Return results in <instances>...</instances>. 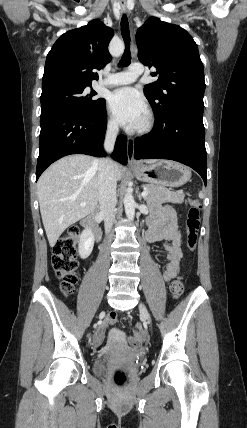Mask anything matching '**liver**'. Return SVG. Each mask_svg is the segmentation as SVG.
Segmentation results:
<instances>
[{
    "instance_id": "6515ba94",
    "label": "liver",
    "mask_w": 247,
    "mask_h": 428,
    "mask_svg": "<svg viewBox=\"0 0 247 428\" xmlns=\"http://www.w3.org/2000/svg\"><path fill=\"white\" fill-rule=\"evenodd\" d=\"M153 164L155 159L146 160ZM98 162L86 155L66 156L52 164L39 178L37 193L41 217L51 247L72 224L95 210L98 204ZM116 180L123 167L114 163ZM81 203H86L81 206Z\"/></svg>"
}]
</instances>
